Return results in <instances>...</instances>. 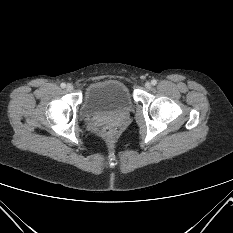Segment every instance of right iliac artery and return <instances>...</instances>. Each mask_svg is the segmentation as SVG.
Returning <instances> with one entry per match:
<instances>
[{
	"mask_svg": "<svg viewBox=\"0 0 233 233\" xmlns=\"http://www.w3.org/2000/svg\"><path fill=\"white\" fill-rule=\"evenodd\" d=\"M61 88H65L66 87V84L65 83H61Z\"/></svg>",
	"mask_w": 233,
	"mask_h": 233,
	"instance_id": "82829eb1",
	"label": "right iliac artery"
}]
</instances>
